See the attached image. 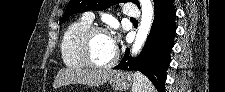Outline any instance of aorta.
I'll list each match as a JSON object with an SVG mask.
<instances>
[{"mask_svg": "<svg viewBox=\"0 0 225 92\" xmlns=\"http://www.w3.org/2000/svg\"><path fill=\"white\" fill-rule=\"evenodd\" d=\"M140 4L142 10L141 22L131 49V53L134 56L137 55L142 49V46L144 45L150 32L154 17V7L151 0H140Z\"/></svg>", "mask_w": 225, "mask_h": 92, "instance_id": "1", "label": "aorta"}]
</instances>
